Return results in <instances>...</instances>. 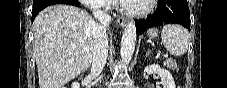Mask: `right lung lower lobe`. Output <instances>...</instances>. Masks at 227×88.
<instances>
[{"mask_svg": "<svg viewBox=\"0 0 227 88\" xmlns=\"http://www.w3.org/2000/svg\"><path fill=\"white\" fill-rule=\"evenodd\" d=\"M57 3H67V0H33L32 22L41 10L49 5Z\"/></svg>", "mask_w": 227, "mask_h": 88, "instance_id": "98d812e1", "label": "right lung lower lobe"}]
</instances>
